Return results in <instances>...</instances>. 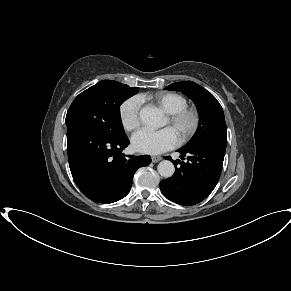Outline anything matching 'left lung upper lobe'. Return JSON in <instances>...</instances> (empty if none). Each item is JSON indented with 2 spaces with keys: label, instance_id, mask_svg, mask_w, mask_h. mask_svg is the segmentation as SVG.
Instances as JSON below:
<instances>
[{
  "label": "left lung upper lobe",
  "instance_id": "obj_1",
  "mask_svg": "<svg viewBox=\"0 0 291 291\" xmlns=\"http://www.w3.org/2000/svg\"><path fill=\"white\" fill-rule=\"evenodd\" d=\"M166 89L181 91L187 95L194 101L199 112L198 128L185 147L200 143H227V127L223 109L209 91L192 81L176 82Z\"/></svg>",
  "mask_w": 291,
  "mask_h": 291
}]
</instances>
